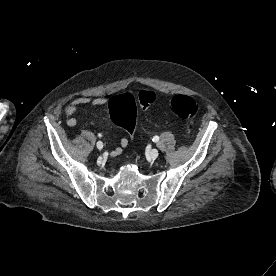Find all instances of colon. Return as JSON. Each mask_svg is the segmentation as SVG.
Returning a JSON list of instances; mask_svg holds the SVG:
<instances>
[{
    "label": "colon",
    "instance_id": "colon-1",
    "mask_svg": "<svg viewBox=\"0 0 276 276\" xmlns=\"http://www.w3.org/2000/svg\"><path fill=\"white\" fill-rule=\"evenodd\" d=\"M155 101V94L152 91H140L137 99L130 93L114 96L108 103L110 118L112 121L124 128L132 138L135 126L138 107L147 109ZM170 110L178 117L188 120V129H194L193 119L198 112L197 102L190 96L175 95L169 104Z\"/></svg>",
    "mask_w": 276,
    "mask_h": 276
}]
</instances>
